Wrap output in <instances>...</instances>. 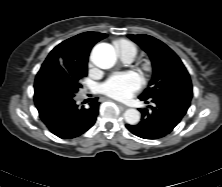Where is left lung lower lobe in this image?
Here are the masks:
<instances>
[{"instance_id": "1", "label": "left lung lower lobe", "mask_w": 222, "mask_h": 187, "mask_svg": "<svg viewBox=\"0 0 222 187\" xmlns=\"http://www.w3.org/2000/svg\"><path fill=\"white\" fill-rule=\"evenodd\" d=\"M192 86H183L179 90L164 91L145 103L155 104L149 112L140 109L142 119L137 125L126 124L127 129L134 135L144 139H158L169 134L186 114L192 99Z\"/></svg>"}]
</instances>
